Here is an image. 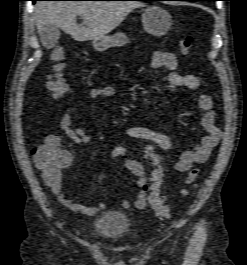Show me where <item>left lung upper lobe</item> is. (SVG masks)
<instances>
[{
    "mask_svg": "<svg viewBox=\"0 0 247 265\" xmlns=\"http://www.w3.org/2000/svg\"><path fill=\"white\" fill-rule=\"evenodd\" d=\"M202 1H215V0H202Z\"/></svg>",
    "mask_w": 247,
    "mask_h": 265,
    "instance_id": "obj_1",
    "label": "left lung upper lobe"
}]
</instances>
